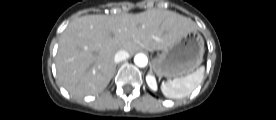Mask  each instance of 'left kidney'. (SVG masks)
<instances>
[{
	"instance_id": "1",
	"label": "left kidney",
	"mask_w": 276,
	"mask_h": 120,
	"mask_svg": "<svg viewBox=\"0 0 276 120\" xmlns=\"http://www.w3.org/2000/svg\"><path fill=\"white\" fill-rule=\"evenodd\" d=\"M146 82L152 90H154V91L157 90V82H156V79L154 76H152L151 74H148L146 76Z\"/></svg>"
}]
</instances>
